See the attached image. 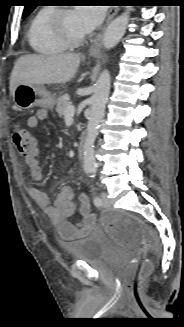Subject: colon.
I'll use <instances>...</instances> for the list:
<instances>
[{"label":"colon","mask_w":184,"mask_h":327,"mask_svg":"<svg viewBox=\"0 0 184 327\" xmlns=\"http://www.w3.org/2000/svg\"><path fill=\"white\" fill-rule=\"evenodd\" d=\"M13 142L19 154L24 157H29L37 149L34 134L20 125L13 129ZM103 222L116 240L137 247V256L133 261L131 280L127 288L135 302H142L144 281L151 268L146 253L148 246L153 243V235L142 221L125 214L106 213Z\"/></svg>","instance_id":"obj_1"}]
</instances>
